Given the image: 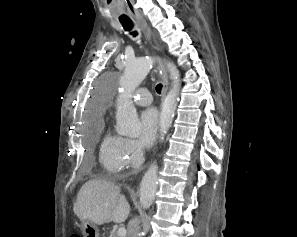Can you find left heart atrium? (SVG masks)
Instances as JSON below:
<instances>
[{"mask_svg":"<svg viewBox=\"0 0 297 237\" xmlns=\"http://www.w3.org/2000/svg\"><path fill=\"white\" fill-rule=\"evenodd\" d=\"M140 142L145 147L151 146L159 131V114L155 108H148L144 110L140 115Z\"/></svg>","mask_w":297,"mask_h":237,"instance_id":"1","label":"left heart atrium"}]
</instances>
